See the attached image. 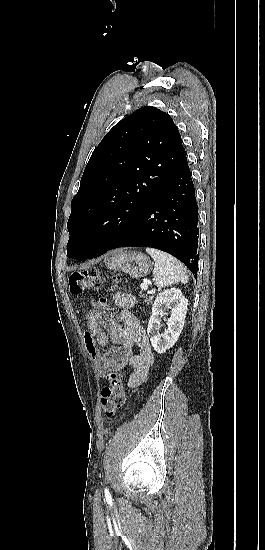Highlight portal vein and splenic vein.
<instances>
[{
  "mask_svg": "<svg viewBox=\"0 0 265 550\" xmlns=\"http://www.w3.org/2000/svg\"><path fill=\"white\" fill-rule=\"evenodd\" d=\"M148 288V284L146 282H144L142 285H141V289L142 290H147Z\"/></svg>",
  "mask_w": 265,
  "mask_h": 550,
  "instance_id": "1",
  "label": "portal vein and splenic vein"
}]
</instances>
